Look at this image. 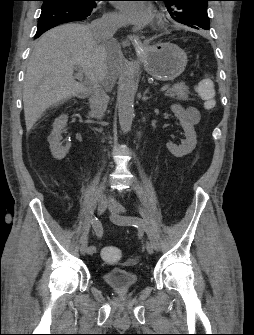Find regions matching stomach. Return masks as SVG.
Instances as JSON below:
<instances>
[{"mask_svg": "<svg viewBox=\"0 0 254 335\" xmlns=\"http://www.w3.org/2000/svg\"><path fill=\"white\" fill-rule=\"evenodd\" d=\"M137 53L147 73L164 82L180 76L188 62L185 51L171 42L146 46Z\"/></svg>", "mask_w": 254, "mask_h": 335, "instance_id": "1", "label": "stomach"}]
</instances>
